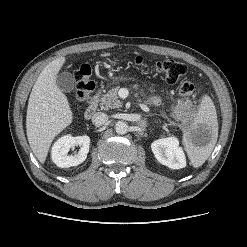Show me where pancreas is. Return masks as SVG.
<instances>
[{
	"label": "pancreas",
	"instance_id": "cf45deb5",
	"mask_svg": "<svg viewBox=\"0 0 247 247\" xmlns=\"http://www.w3.org/2000/svg\"><path fill=\"white\" fill-rule=\"evenodd\" d=\"M120 87L117 86L111 90H109L106 94H104L100 99V107L103 110H109L113 108L122 107V102L119 100L118 91Z\"/></svg>",
	"mask_w": 247,
	"mask_h": 247
}]
</instances>
